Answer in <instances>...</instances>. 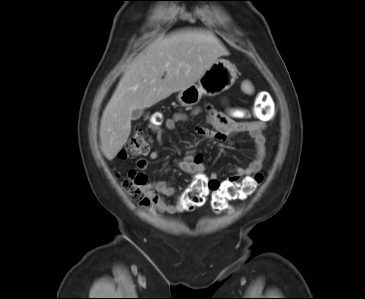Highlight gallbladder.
<instances>
[{"label":"gallbladder","instance_id":"bac80fb5","mask_svg":"<svg viewBox=\"0 0 365 299\" xmlns=\"http://www.w3.org/2000/svg\"><path fill=\"white\" fill-rule=\"evenodd\" d=\"M143 114L142 109H136L132 112L131 120H138Z\"/></svg>","mask_w":365,"mask_h":299}]
</instances>
